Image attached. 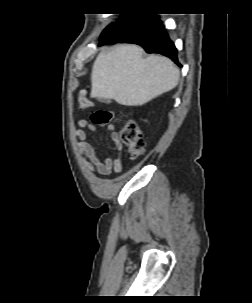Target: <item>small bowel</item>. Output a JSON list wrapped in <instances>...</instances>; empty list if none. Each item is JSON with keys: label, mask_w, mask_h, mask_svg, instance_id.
<instances>
[{"label": "small bowel", "mask_w": 252, "mask_h": 303, "mask_svg": "<svg viewBox=\"0 0 252 303\" xmlns=\"http://www.w3.org/2000/svg\"><path fill=\"white\" fill-rule=\"evenodd\" d=\"M78 129L74 133L75 139L78 141V149L82 155L85 166L96 173L107 176L112 172L118 173L122 169L123 146L119 141L116 127L114 124L107 125V129L111 132V140L116 151L115 158L106 157L100 161L96 155L95 149L87 141V135L84 129L94 131L96 127L87 120L81 119L77 122Z\"/></svg>", "instance_id": "small-bowel-1"}]
</instances>
